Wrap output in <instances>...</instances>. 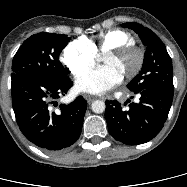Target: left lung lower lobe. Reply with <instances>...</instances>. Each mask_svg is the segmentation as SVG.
I'll use <instances>...</instances> for the list:
<instances>
[{"mask_svg":"<svg viewBox=\"0 0 187 187\" xmlns=\"http://www.w3.org/2000/svg\"><path fill=\"white\" fill-rule=\"evenodd\" d=\"M134 94L139 96V101L130 103L127 110L116 100L105 102V118L111 136L127 145L153 139L163 128L173 100L171 90L152 88Z\"/></svg>","mask_w":187,"mask_h":187,"instance_id":"obj_1","label":"left lung lower lobe"}]
</instances>
